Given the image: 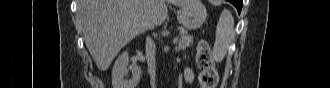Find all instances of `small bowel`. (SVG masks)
Wrapping results in <instances>:
<instances>
[{
	"instance_id": "c3829d8e",
	"label": "small bowel",
	"mask_w": 330,
	"mask_h": 88,
	"mask_svg": "<svg viewBox=\"0 0 330 88\" xmlns=\"http://www.w3.org/2000/svg\"><path fill=\"white\" fill-rule=\"evenodd\" d=\"M183 75H184V78L187 82H191V80L193 78V73L190 69H185L183 71Z\"/></svg>"
}]
</instances>
